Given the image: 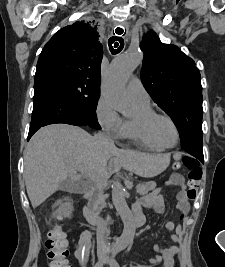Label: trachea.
<instances>
[{
  "label": "trachea",
  "instance_id": "trachea-1",
  "mask_svg": "<svg viewBox=\"0 0 225 267\" xmlns=\"http://www.w3.org/2000/svg\"><path fill=\"white\" fill-rule=\"evenodd\" d=\"M115 31L118 35H121L124 32L123 28H120V27L116 28ZM108 45H109V49L111 53L117 54L121 52V50L123 49L124 40L120 36H112L108 40Z\"/></svg>",
  "mask_w": 225,
  "mask_h": 267
}]
</instances>
